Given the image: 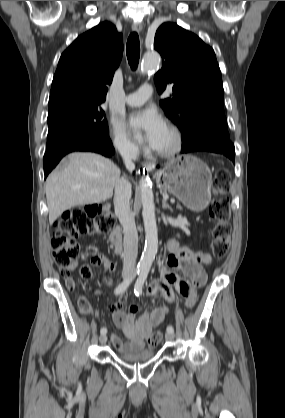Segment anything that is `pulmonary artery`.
I'll use <instances>...</instances> for the list:
<instances>
[{
	"label": "pulmonary artery",
	"mask_w": 285,
	"mask_h": 418,
	"mask_svg": "<svg viewBox=\"0 0 285 418\" xmlns=\"http://www.w3.org/2000/svg\"><path fill=\"white\" fill-rule=\"evenodd\" d=\"M152 96V88L149 85H142L136 93L127 95L123 102L129 106L142 105Z\"/></svg>",
	"instance_id": "1"
}]
</instances>
